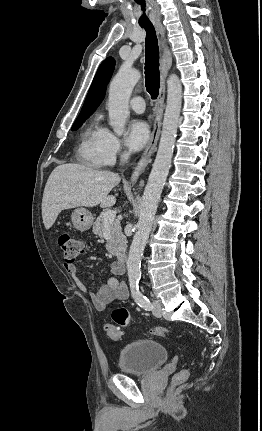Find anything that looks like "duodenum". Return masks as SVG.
Returning a JSON list of instances; mask_svg holds the SVG:
<instances>
[{
  "label": "duodenum",
  "mask_w": 262,
  "mask_h": 431,
  "mask_svg": "<svg viewBox=\"0 0 262 431\" xmlns=\"http://www.w3.org/2000/svg\"><path fill=\"white\" fill-rule=\"evenodd\" d=\"M118 261L121 264H124L127 261V255L125 253H121L118 257Z\"/></svg>",
  "instance_id": "410a0bca"
}]
</instances>
